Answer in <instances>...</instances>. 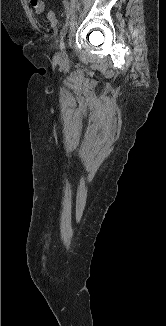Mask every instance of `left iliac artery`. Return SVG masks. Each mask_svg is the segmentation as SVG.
Segmentation results:
<instances>
[{
    "mask_svg": "<svg viewBox=\"0 0 166 326\" xmlns=\"http://www.w3.org/2000/svg\"><path fill=\"white\" fill-rule=\"evenodd\" d=\"M69 16H70V14H67L66 23L64 24L63 29L60 32V43H61L60 46L64 45V43H62V41H63V38L66 35V31H67V27H68V19H69Z\"/></svg>",
    "mask_w": 166,
    "mask_h": 326,
    "instance_id": "44dca946",
    "label": "left iliac artery"
}]
</instances>
